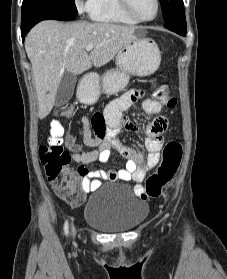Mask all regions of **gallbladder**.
Masks as SVG:
<instances>
[{
    "mask_svg": "<svg viewBox=\"0 0 227 279\" xmlns=\"http://www.w3.org/2000/svg\"><path fill=\"white\" fill-rule=\"evenodd\" d=\"M76 82H77L76 75L69 73L67 71L63 74L56 93V98H55L56 106H62L71 99L74 93Z\"/></svg>",
    "mask_w": 227,
    "mask_h": 279,
    "instance_id": "obj_1",
    "label": "gallbladder"
}]
</instances>
